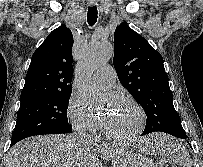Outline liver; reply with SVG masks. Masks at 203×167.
<instances>
[{
	"label": "liver",
	"mask_w": 203,
	"mask_h": 167,
	"mask_svg": "<svg viewBox=\"0 0 203 167\" xmlns=\"http://www.w3.org/2000/svg\"><path fill=\"white\" fill-rule=\"evenodd\" d=\"M101 159L113 165L126 153L115 145L93 149L80 144L73 135L34 136L13 146L6 157V167H101Z\"/></svg>",
	"instance_id": "obj_1"
}]
</instances>
